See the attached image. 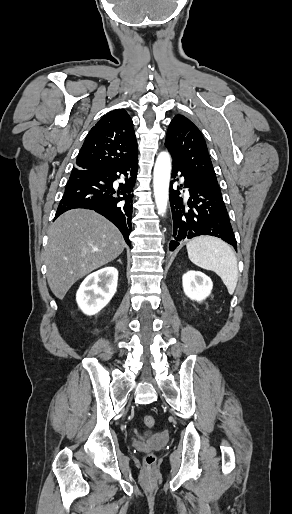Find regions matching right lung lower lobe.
<instances>
[{
    "mask_svg": "<svg viewBox=\"0 0 292 514\" xmlns=\"http://www.w3.org/2000/svg\"><path fill=\"white\" fill-rule=\"evenodd\" d=\"M138 157L119 166L95 171H72L58 206L55 219L76 208L96 211L114 223L128 245L131 231L132 197L136 182ZM123 179L119 187L116 179Z\"/></svg>",
    "mask_w": 292,
    "mask_h": 514,
    "instance_id": "obj_1",
    "label": "right lung lower lobe"
}]
</instances>
